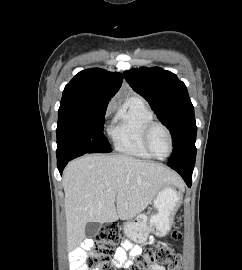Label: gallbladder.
Here are the masks:
<instances>
[{"label":"gallbladder","mask_w":242,"mask_h":270,"mask_svg":"<svg viewBox=\"0 0 242 270\" xmlns=\"http://www.w3.org/2000/svg\"><path fill=\"white\" fill-rule=\"evenodd\" d=\"M100 230L98 222H88L85 227V233L87 237H95Z\"/></svg>","instance_id":"1"}]
</instances>
